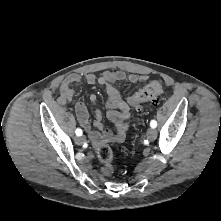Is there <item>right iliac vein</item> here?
I'll return each instance as SVG.
<instances>
[{"instance_id":"63e3f726","label":"right iliac vein","mask_w":221,"mask_h":221,"mask_svg":"<svg viewBox=\"0 0 221 221\" xmlns=\"http://www.w3.org/2000/svg\"><path fill=\"white\" fill-rule=\"evenodd\" d=\"M86 139L84 136H79L75 139L76 144L78 145H82L83 143H85Z\"/></svg>"}]
</instances>
